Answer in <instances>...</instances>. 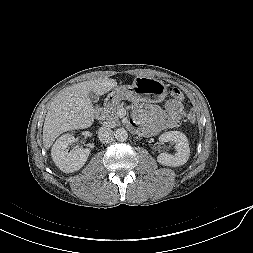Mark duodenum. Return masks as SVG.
<instances>
[{
  "label": "duodenum",
  "instance_id": "410a0bca",
  "mask_svg": "<svg viewBox=\"0 0 253 253\" xmlns=\"http://www.w3.org/2000/svg\"><path fill=\"white\" fill-rule=\"evenodd\" d=\"M115 100H116V97H115V96H110V97L106 100L105 106H108V105L112 104ZM102 114H103V108H98V109L96 110V115H97L98 117H101Z\"/></svg>",
  "mask_w": 253,
  "mask_h": 253
}]
</instances>
